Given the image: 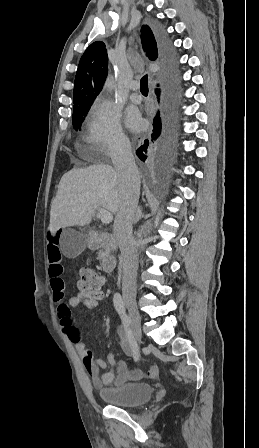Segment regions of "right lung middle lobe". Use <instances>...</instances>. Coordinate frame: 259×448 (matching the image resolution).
I'll return each mask as SVG.
<instances>
[{
    "label": "right lung middle lobe",
    "instance_id": "obj_1",
    "mask_svg": "<svg viewBox=\"0 0 259 448\" xmlns=\"http://www.w3.org/2000/svg\"><path fill=\"white\" fill-rule=\"evenodd\" d=\"M89 108H83V109H76L73 110V127L74 129H79L80 130V126L84 120V117L87 115Z\"/></svg>",
    "mask_w": 259,
    "mask_h": 448
}]
</instances>
